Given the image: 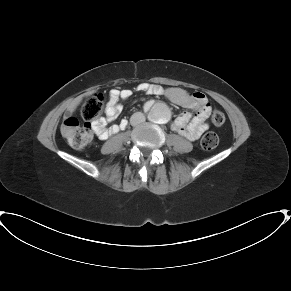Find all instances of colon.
<instances>
[{"label":"colon","instance_id":"obj_1","mask_svg":"<svg viewBox=\"0 0 291 291\" xmlns=\"http://www.w3.org/2000/svg\"><path fill=\"white\" fill-rule=\"evenodd\" d=\"M104 112V95L94 94L88 97L81 109L82 123L74 117L68 118L61 125V133L67 142L75 149H83L92 141L94 124L101 121ZM224 114L220 110L212 113V122L216 126L223 125ZM219 138L215 133L206 134L201 140L204 150H213L217 147Z\"/></svg>","mask_w":291,"mask_h":291}]
</instances>
